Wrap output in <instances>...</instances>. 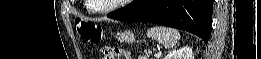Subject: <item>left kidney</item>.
<instances>
[{
    "mask_svg": "<svg viewBox=\"0 0 261 59\" xmlns=\"http://www.w3.org/2000/svg\"><path fill=\"white\" fill-rule=\"evenodd\" d=\"M164 59H194V54L190 47H183L178 50H172Z\"/></svg>",
    "mask_w": 261,
    "mask_h": 59,
    "instance_id": "obj_1",
    "label": "left kidney"
}]
</instances>
